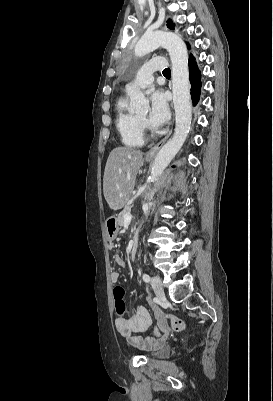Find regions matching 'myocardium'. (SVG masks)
Returning a JSON list of instances; mask_svg holds the SVG:
<instances>
[{"instance_id": "obj_1", "label": "myocardium", "mask_w": 273, "mask_h": 401, "mask_svg": "<svg viewBox=\"0 0 273 401\" xmlns=\"http://www.w3.org/2000/svg\"><path fill=\"white\" fill-rule=\"evenodd\" d=\"M137 118H138V121H139L141 127H142V128L146 127V121H145V119H142V118H140L139 116H138Z\"/></svg>"}]
</instances>
